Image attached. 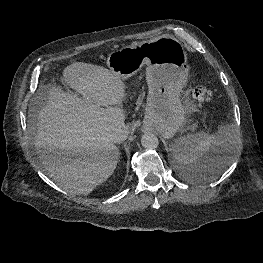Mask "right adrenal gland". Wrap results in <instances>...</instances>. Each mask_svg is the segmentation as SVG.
I'll list each match as a JSON object with an SVG mask.
<instances>
[{"instance_id":"1","label":"right adrenal gland","mask_w":263,"mask_h":263,"mask_svg":"<svg viewBox=\"0 0 263 263\" xmlns=\"http://www.w3.org/2000/svg\"><path fill=\"white\" fill-rule=\"evenodd\" d=\"M119 151V150H118ZM120 155H121V153H120V151H119V158H120Z\"/></svg>"}]
</instances>
